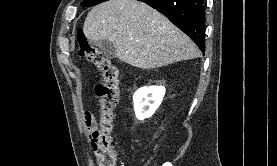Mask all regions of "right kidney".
Returning <instances> with one entry per match:
<instances>
[{"label":"right kidney","instance_id":"1","mask_svg":"<svg viewBox=\"0 0 277 166\" xmlns=\"http://www.w3.org/2000/svg\"><path fill=\"white\" fill-rule=\"evenodd\" d=\"M165 95L163 86H150L138 89L133 95L134 111L139 120L151 117L160 106Z\"/></svg>","mask_w":277,"mask_h":166}]
</instances>
